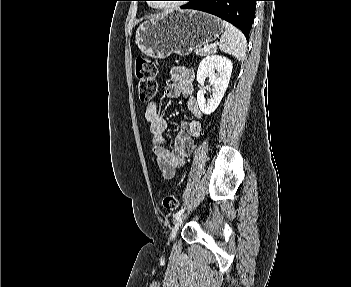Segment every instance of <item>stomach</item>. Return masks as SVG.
I'll return each instance as SVG.
<instances>
[{"instance_id":"obj_1","label":"stomach","mask_w":351,"mask_h":287,"mask_svg":"<svg viewBox=\"0 0 351 287\" xmlns=\"http://www.w3.org/2000/svg\"><path fill=\"white\" fill-rule=\"evenodd\" d=\"M223 29L222 21L213 15L195 10L169 11L142 23L135 43L152 58L165 59L173 53L185 56L214 41Z\"/></svg>"}]
</instances>
